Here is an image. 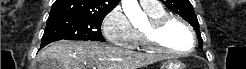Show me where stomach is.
Instances as JSON below:
<instances>
[{
  "mask_svg": "<svg viewBox=\"0 0 246 69\" xmlns=\"http://www.w3.org/2000/svg\"><path fill=\"white\" fill-rule=\"evenodd\" d=\"M161 69H185L184 65L179 61H166L162 64Z\"/></svg>",
  "mask_w": 246,
  "mask_h": 69,
  "instance_id": "0dacf381",
  "label": "stomach"
}]
</instances>
